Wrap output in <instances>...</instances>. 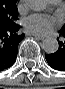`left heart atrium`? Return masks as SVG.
Segmentation results:
<instances>
[{
	"instance_id": "left-heart-atrium-1",
	"label": "left heart atrium",
	"mask_w": 65,
	"mask_h": 89,
	"mask_svg": "<svg viewBox=\"0 0 65 89\" xmlns=\"http://www.w3.org/2000/svg\"><path fill=\"white\" fill-rule=\"evenodd\" d=\"M58 25V18L44 14H34L24 20L27 31L38 35H47Z\"/></svg>"
}]
</instances>
